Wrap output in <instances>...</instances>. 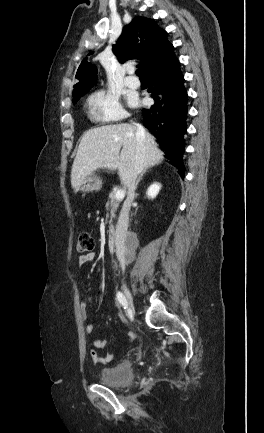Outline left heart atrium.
Returning a JSON list of instances; mask_svg holds the SVG:
<instances>
[{
  "label": "left heart atrium",
  "mask_w": 264,
  "mask_h": 433,
  "mask_svg": "<svg viewBox=\"0 0 264 433\" xmlns=\"http://www.w3.org/2000/svg\"><path fill=\"white\" fill-rule=\"evenodd\" d=\"M130 103H131V104H135V101L132 99V100L130 101Z\"/></svg>",
  "instance_id": "left-heart-atrium-1"
}]
</instances>
